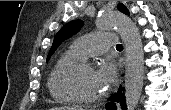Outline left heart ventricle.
Returning <instances> with one entry per match:
<instances>
[{"instance_id":"left-heart-ventricle-1","label":"left heart ventricle","mask_w":171,"mask_h":110,"mask_svg":"<svg viewBox=\"0 0 171 110\" xmlns=\"http://www.w3.org/2000/svg\"><path fill=\"white\" fill-rule=\"evenodd\" d=\"M76 89L84 96L95 97L105 92L104 86L99 81L94 69H83L74 77Z\"/></svg>"}]
</instances>
